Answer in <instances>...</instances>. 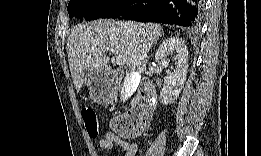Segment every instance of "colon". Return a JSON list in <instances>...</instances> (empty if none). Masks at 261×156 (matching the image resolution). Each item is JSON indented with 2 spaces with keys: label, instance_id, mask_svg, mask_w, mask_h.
<instances>
[{
  "label": "colon",
  "instance_id": "colon-1",
  "mask_svg": "<svg viewBox=\"0 0 261 156\" xmlns=\"http://www.w3.org/2000/svg\"><path fill=\"white\" fill-rule=\"evenodd\" d=\"M82 118L86 125L88 134L92 138H96L99 135V122L94 110L90 107L82 109ZM114 130L123 136H133L144 131L147 125V121L140 122L132 127L128 126L125 121L114 120L111 123Z\"/></svg>",
  "mask_w": 261,
  "mask_h": 156
}]
</instances>
